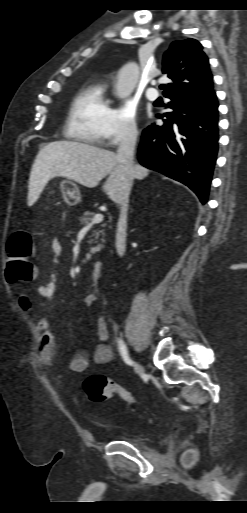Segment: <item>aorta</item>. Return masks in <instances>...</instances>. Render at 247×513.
<instances>
[{"label":"aorta","mask_w":247,"mask_h":513,"mask_svg":"<svg viewBox=\"0 0 247 513\" xmlns=\"http://www.w3.org/2000/svg\"><path fill=\"white\" fill-rule=\"evenodd\" d=\"M139 77V66L135 62L124 65L118 72L116 94L124 99L131 95Z\"/></svg>","instance_id":"1"}]
</instances>
